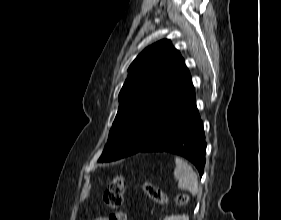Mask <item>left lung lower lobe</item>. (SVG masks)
<instances>
[{"mask_svg": "<svg viewBox=\"0 0 281 220\" xmlns=\"http://www.w3.org/2000/svg\"><path fill=\"white\" fill-rule=\"evenodd\" d=\"M205 151L203 123L196 107L195 90L191 82L166 112L151 141L137 152L181 155L191 161L202 176Z\"/></svg>", "mask_w": 281, "mask_h": 220, "instance_id": "obj_1", "label": "left lung lower lobe"}]
</instances>
